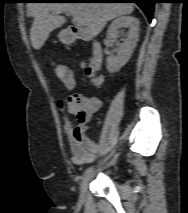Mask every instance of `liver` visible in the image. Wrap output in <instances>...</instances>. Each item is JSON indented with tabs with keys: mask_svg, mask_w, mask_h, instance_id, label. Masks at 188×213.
Segmentation results:
<instances>
[{
	"mask_svg": "<svg viewBox=\"0 0 188 213\" xmlns=\"http://www.w3.org/2000/svg\"><path fill=\"white\" fill-rule=\"evenodd\" d=\"M133 10L132 3H28L27 15L34 19L30 29L32 46L41 49L49 34L66 23L62 13L83 18L88 34L97 36L109 20Z\"/></svg>",
	"mask_w": 188,
	"mask_h": 213,
	"instance_id": "obj_1",
	"label": "liver"
}]
</instances>
